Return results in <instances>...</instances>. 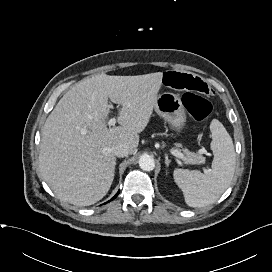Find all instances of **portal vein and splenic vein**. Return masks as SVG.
Masks as SVG:
<instances>
[{
	"label": "portal vein and splenic vein",
	"mask_w": 272,
	"mask_h": 272,
	"mask_svg": "<svg viewBox=\"0 0 272 272\" xmlns=\"http://www.w3.org/2000/svg\"><path fill=\"white\" fill-rule=\"evenodd\" d=\"M116 123V119L115 118H111L109 121H108V125L109 126H113L115 125ZM170 153L173 154L174 156L178 157L179 159H182V160H186V157L178 150L176 149H170ZM203 171L204 172H209V170H207L206 168H203Z\"/></svg>",
	"instance_id": "18ae733b"
}]
</instances>
